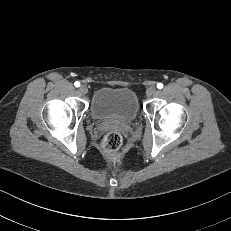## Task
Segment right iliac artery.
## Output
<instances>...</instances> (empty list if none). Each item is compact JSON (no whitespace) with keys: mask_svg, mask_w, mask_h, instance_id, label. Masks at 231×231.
<instances>
[{"mask_svg":"<svg viewBox=\"0 0 231 231\" xmlns=\"http://www.w3.org/2000/svg\"><path fill=\"white\" fill-rule=\"evenodd\" d=\"M74 85H75L76 87H79V86H80V83H79L78 81H76V82L74 83Z\"/></svg>","mask_w":231,"mask_h":231,"instance_id":"right-iliac-artery-1","label":"right iliac artery"}]
</instances>
